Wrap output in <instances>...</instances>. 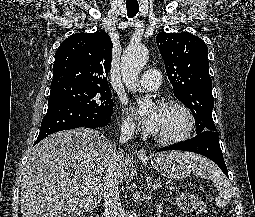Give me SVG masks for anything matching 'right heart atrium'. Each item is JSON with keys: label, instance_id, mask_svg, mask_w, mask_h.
I'll return each instance as SVG.
<instances>
[{"label": "right heart atrium", "instance_id": "1", "mask_svg": "<svg viewBox=\"0 0 255 217\" xmlns=\"http://www.w3.org/2000/svg\"><path fill=\"white\" fill-rule=\"evenodd\" d=\"M121 128H122V131L128 135L134 134V132L136 130V126H135L134 122L127 115L123 117Z\"/></svg>", "mask_w": 255, "mask_h": 217}]
</instances>
